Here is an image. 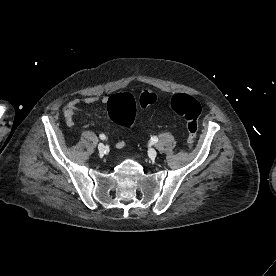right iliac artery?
Masks as SVG:
<instances>
[{
    "mask_svg": "<svg viewBox=\"0 0 276 276\" xmlns=\"http://www.w3.org/2000/svg\"><path fill=\"white\" fill-rule=\"evenodd\" d=\"M100 139L104 140V139H106V136L104 134H101Z\"/></svg>",
    "mask_w": 276,
    "mask_h": 276,
    "instance_id": "1",
    "label": "right iliac artery"
}]
</instances>
